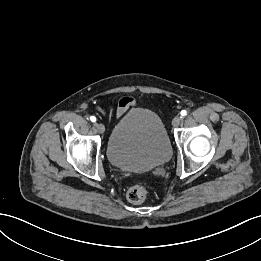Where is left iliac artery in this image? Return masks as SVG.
<instances>
[{"mask_svg": "<svg viewBox=\"0 0 261 261\" xmlns=\"http://www.w3.org/2000/svg\"><path fill=\"white\" fill-rule=\"evenodd\" d=\"M180 114H181V116H185L187 114V112H186V110H182Z\"/></svg>", "mask_w": 261, "mask_h": 261, "instance_id": "left-iliac-artery-1", "label": "left iliac artery"}]
</instances>
